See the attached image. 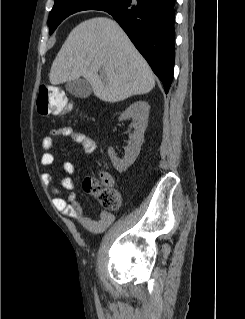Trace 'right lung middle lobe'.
Here are the masks:
<instances>
[{
  "label": "right lung middle lobe",
  "instance_id": "1",
  "mask_svg": "<svg viewBox=\"0 0 245 319\" xmlns=\"http://www.w3.org/2000/svg\"><path fill=\"white\" fill-rule=\"evenodd\" d=\"M123 0H55L48 18L50 34L69 15L88 9L107 10L117 7Z\"/></svg>",
  "mask_w": 245,
  "mask_h": 319
}]
</instances>
